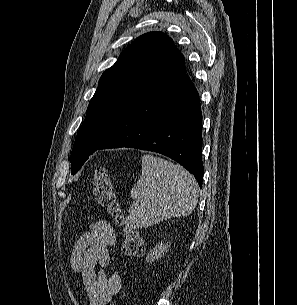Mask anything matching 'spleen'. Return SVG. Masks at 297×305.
I'll return each mask as SVG.
<instances>
[{
	"mask_svg": "<svg viewBox=\"0 0 297 305\" xmlns=\"http://www.w3.org/2000/svg\"><path fill=\"white\" fill-rule=\"evenodd\" d=\"M130 195L135 200L134 208L124 224L137 229L190 214L197 204L199 188L181 166L146 154L142 157L141 178Z\"/></svg>",
	"mask_w": 297,
	"mask_h": 305,
	"instance_id": "spleen-1",
	"label": "spleen"
}]
</instances>
